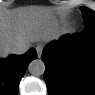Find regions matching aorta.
Returning <instances> with one entry per match:
<instances>
[{"label":"aorta","mask_w":95,"mask_h":95,"mask_svg":"<svg viewBox=\"0 0 95 95\" xmlns=\"http://www.w3.org/2000/svg\"><path fill=\"white\" fill-rule=\"evenodd\" d=\"M28 70L31 75L41 76L45 72V64L41 59H35L29 64Z\"/></svg>","instance_id":"obj_1"}]
</instances>
